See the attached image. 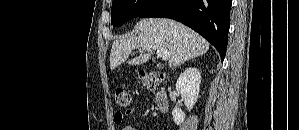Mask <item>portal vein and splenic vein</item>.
Segmentation results:
<instances>
[{
  "mask_svg": "<svg viewBox=\"0 0 299 130\" xmlns=\"http://www.w3.org/2000/svg\"><path fill=\"white\" fill-rule=\"evenodd\" d=\"M141 51V49H140ZM157 56L162 58V60L166 61L170 58V52L167 49H157Z\"/></svg>",
  "mask_w": 299,
  "mask_h": 130,
  "instance_id": "1",
  "label": "portal vein and splenic vein"
}]
</instances>
